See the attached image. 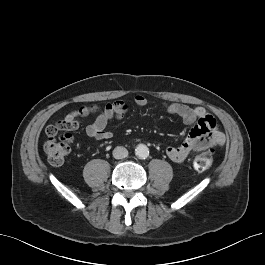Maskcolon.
<instances>
[{
    "label": "colon",
    "instance_id": "1",
    "mask_svg": "<svg viewBox=\"0 0 265 265\" xmlns=\"http://www.w3.org/2000/svg\"><path fill=\"white\" fill-rule=\"evenodd\" d=\"M97 110V107H83L80 108L78 113L80 115H87ZM75 128V120L66 116L64 119L59 120L55 124L49 125L46 129L48 140L44 145V152L50 164L59 166L63 164L70 151V134L59 135L60 131H70ZM213 152L205 150L200 152L193 161L195 170L205 172L209 170L213 164Z\"/></svg>",
    "mask_w": 265,
    "mask_h": 265
}]
</instances>
